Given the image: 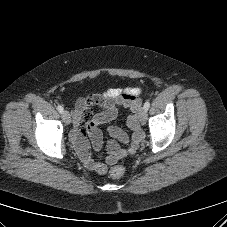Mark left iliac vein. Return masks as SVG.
Instances as JSON below:
<instances>
[{"mask_svg":"<svg viewBox=\"0 0 227 227\" xmlns=\"http://www.w3.org/2000/svg\"><path fill=\"white\" fill-rule=\"evenodd\" d=\"M138 119L141 122V124H144L146 122V120H147V111L144 109V107L139 110Z\"/></svg>","mask_w":227,"mask_h":227,"instance_id":"obj_1","label":"left iliac vein"}]
</instances>
